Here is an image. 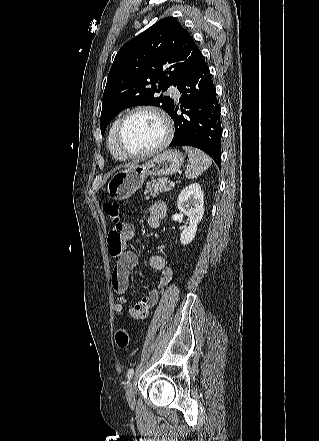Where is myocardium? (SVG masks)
<instances>
[{"mask_svg": "<svg viewBox=\"0 0 319 441\" xmlns=\"http://www.w3.org/2000/svg\"><path fill=\"white\" fill-rule=\"evenodd\" d=\"M139 112H149L157 116L163 124L164 136L162 140L155 147L151 149L142 152H130L122 146L121 130L126 120L131 115ZM173 132H174L173 123L165 111L154 105H139L129 109L119 118L115 128V135H114L115 145L119 150V152L126 158H145L155 155L161 152L163 149H165L172 139Z\"/></svg>", "mask_w": 319, "mask_h": 441, "instance_id": "myocardium-1", "label": "myocardium"}]
</instances>
